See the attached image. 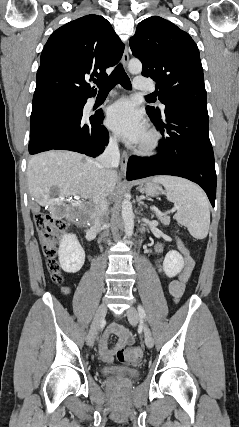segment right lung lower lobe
I'll return each mask as SVG.
<instances>
[{
    "label": "right lung lower lobe",
    "instance_id": "1",
    "mask_svg": "<svg viewBox=\"0 0 239 427\" xmlns=\"http://www.w3.org/2000/svg\"><path fill=\"white\" fill-rule=\"evenodd\" d=\"M86 100L73 97L62 108L45 117L30 135L29 153L64 149L91 157L101 154L109 141L108 131L102 125L104 115L100 112L90 117L83 116Z\"/></svg>",
    "mask_w": 239,
    "mask_h": 427
}]
</instances>
